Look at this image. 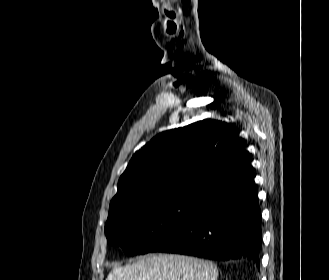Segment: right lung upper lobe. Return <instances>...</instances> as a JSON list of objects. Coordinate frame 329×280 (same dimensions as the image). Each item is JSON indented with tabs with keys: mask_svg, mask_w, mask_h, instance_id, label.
Instances as JSON below:
<instances>
[{
	"mask_svg": "<svg viewBox=\"0 0 329 280\" xmlns=\"http://www.w3.org/2000/svg\"><path fill=\"white\" fill-rule=\"evenodd\" d=\"M249 160L243 139L225 122L205 119L165 131L133 155L110 206L155 197H201Z\"/></svg>",
	"mask_w": 329,
	"mask_h": 280,
	"instance_id": "right-lung-upper-lobe-1",
	"label": "right lung upper lobe"
}]
</instances>
